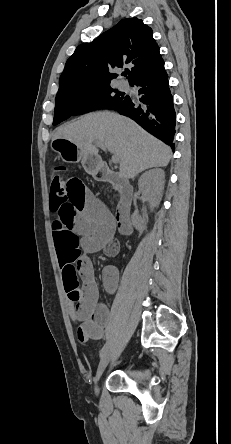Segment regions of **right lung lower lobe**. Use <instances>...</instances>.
Returning a JSON list of instances; mask_svg holds the SVG:
<instances>
[{"label":"right lung lower lobe","instance_id":"98d812e1","mask_svg":"<svg viewBox=\"0 0 231 444\" xmlns=\"http://www.w3.org/2000/svg\"><path fill=\"white\" fill-rule=\"evenodd\" d=\"M134 84L139 87V101L125 96L110 109L135 120L174 149L175 110L164 65L130 82V85Z\"/></svg>","mask_w":231,"mask_h":444}]
</instances>
